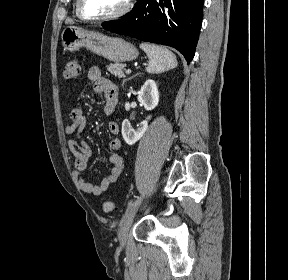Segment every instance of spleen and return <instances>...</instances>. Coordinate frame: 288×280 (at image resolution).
I'll use <instances>...</instances> for the list:
<instances>
[{"instance_id": "3e777b00", "label": "spleen", "mask_w": 288, "mask_h": 280, "mask_svg": "<svg viewBox=\"0 0 288 280\" xmlns=\"http://www.w3.org/2000/svg\"><path fill=\"white\" fill-rule=\"evenodd\" d=\"M140 48L149 58L148 65L146 67V71L148 73H162L169 69L175 68L178 64L176 56L165 47L155 44L142 43Z\"/></svg>"}]
</instances>
